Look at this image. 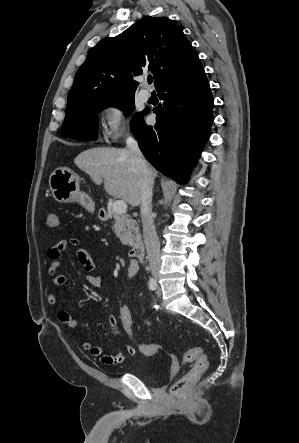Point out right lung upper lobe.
<instances>
[{"mask_svg":"<svg viewBox=\"0 0 299 443\" xmlns=\"http://www.w3.org/2000/svg\"><path fill=\"white\" fill-rule=\"evenodd\" d=\"M201 67L191 43L172 20L145 18L89 50L76 74L66 108L134 94L138 83L133 78L144 71H152L157 89Z\"/></svg>","mask_w":299,"mask_h":443,"instance_id":"right-lung-upper-lobe-1","label":"right lung upper lobe"}]
</instances>
